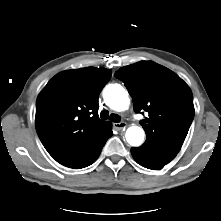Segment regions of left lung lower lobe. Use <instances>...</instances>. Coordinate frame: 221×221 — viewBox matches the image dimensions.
I'll use <instances>...</instances> for the list:
<instances>
[{
	"instance_id": "1",
	"label": "left lung lower lobe",
	"mask_w": 221,
	"mask_h": 221,
	"mask_svg": "<svg viewBox=\"0 0 221 221\" xmlns=\"http://www.w3.org/2000/svg\"><path fill=\"white\" fill-rule=\"evenodd\" d=\"M131 154L138 164L153 170L162 169L176 156V153L148 141L138 148H132Z\"/></svg>"
}]
</instances>
